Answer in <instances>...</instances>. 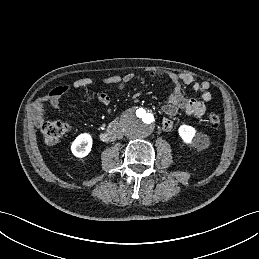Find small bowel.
<instances>
[{"mask_svg":"<svg viewBox=\"0 0 259 259\" xmlns=\"http://www.w3.org/2000/svg\"><path fill=\"white\" fill-rule=\"evenodd\" d=\"M150 75H167L171 80V92L168 102L163 106L162 111L167 116L161 122V128L164 131H170L173 128L174 117L178 110H183L187 115L201 118L206 113V104L211 100L212 95L209 91L210 83L208 81H197L189 73L175 74L161 69L151 70ZM134 78L133 73H126L124 75H114L103 80L104 84L115 85L118 90H122ZM95 82L93 77H84L76 80L73 83L74 88H82L89 86ZM182 85L192 87L196 92L200 93V99L186 97L182 91ZM70 86H58L52 89L47 95L36 99L31 108V115L34 124L40 127L44 123L45 108L51 106L58 108L60 106L61 98L69 93ZM98 101L103 105H108L111 101L107 93L101 92L98 94Z\"/></svg>","mask_w":259,"mask_h":259,"instance_id":"obj_1","label":"small bowel"}]
</instances>
